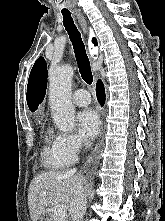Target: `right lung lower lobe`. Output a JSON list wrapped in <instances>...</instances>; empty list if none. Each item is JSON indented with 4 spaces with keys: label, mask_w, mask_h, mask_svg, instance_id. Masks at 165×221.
I'll use <instances>...</instances> for the list:
<instances>
[{
    "label": "right lung lower lobe",
    "mask_w": 165,
    "mask_h": 221,
    "mask_svg": "<svg viewBox=\"0 0 165 221\" xmlns=\"http://www.w3.org/2000/svg\"><path fill=\"white\" fill-rule=\"evenodd\" d=\"M96 93H97V99L99 103L103 105L105 102V91H104L103 84L100 80L97 82V85H96Z\"/></svg>",
    "instance_id": "obj_1"
}]
</instances>
